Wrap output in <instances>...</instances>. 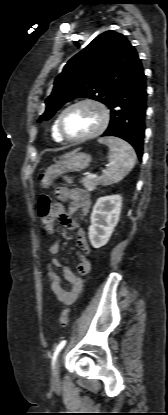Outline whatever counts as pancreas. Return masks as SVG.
I'll return each mask as SVG.
<instances>
[{"label":"pancreas","mask_w":168,"mask_h":415,"mask_svg":"<svg viewBox=\"0 0 168 415\" xmlns=\"http://www.w3.org/2000/svg\"><path fill=\"white\" fill-rule=\"evenodd\" d=\"M80 183H82L83 186L87 190L91 191V190H94L96 188V186L98 185V179L97 178H91V177L86 176V177H83L80 180Z\"/></svg>","instance_id":"pancreas-1"}]
</instances>
